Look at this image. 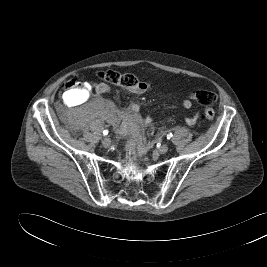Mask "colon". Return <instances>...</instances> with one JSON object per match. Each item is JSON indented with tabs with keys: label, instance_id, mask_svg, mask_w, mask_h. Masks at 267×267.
Instances as JSON below:
<instances>
[{
	"label": "colon",
	"instance_id": "1",
	"mask_svg": "<svg viewBox=\"0 0 267 267\" xmlns=\"http://www.w3.org/2000/svg\"><path fill=\"white\" fill-rule=\"evenodd\" d=\"M98 77L111 85L127 89L140 87L145 83L131 73H121L115 70L99 72ZM66 88L77 93H82L86 90L83 84L75 81L67 83ZM192 98L204 107V117L208 120H213L215 113L212 105L217 101L216 94L207 90H199L192 94Z\"/></svg>",
	"mask_w": 267,
	"mask_h": 267
}]
</instances>
